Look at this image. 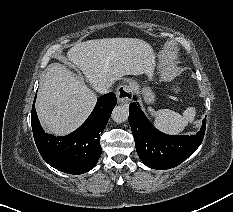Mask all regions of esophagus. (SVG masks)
<instances>
[{"mask_svg": "<svg viewBox=\"0 0 233 212\" xmlns=\"http://www.w3.org/2000/svg\"><path fill=\"white\" fill-rule=\"evenodd\" d=\"M118 103L124 104L132 100L133 90L128 85H121L116 90Z\"/></svg>", "mask_w": 233, "mask_h": 212, "instance_id": "34e87169", "label": "esophagus"}]
</instances>
